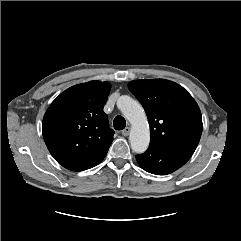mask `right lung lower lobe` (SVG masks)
Returning <instances> with one entry per match:
<instances>
[{"mask_svg":"<svg viewBox=\"0 0 241 241\" xmlns=\"http://www.w3.org/2000/svg\"><path fill=\"white\" fill-rule=\"evenodd\" d=\"M106 154H107V152L103 153L102 155L98 156L97 158H95L93 160L72 165V166L68 167L67 169L72 170V171H83V170L92 168V167L96 166L97 164H99L104 159Z\"/></svg>","mask_w":241,"mask_h":241,"instance_id":"obj_1","label":"right lung lower lobe"}]
</instances>
